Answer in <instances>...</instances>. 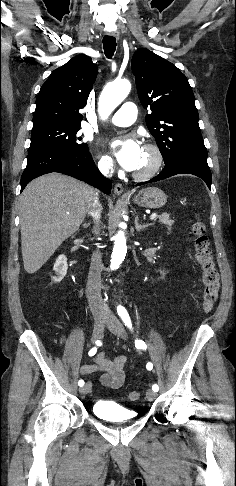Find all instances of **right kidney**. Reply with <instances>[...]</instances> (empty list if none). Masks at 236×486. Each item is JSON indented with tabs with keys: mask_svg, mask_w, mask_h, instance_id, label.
I'll list each match as a JSON object with an SVG mask.
<instances>
[{
	"mask_svg": "<svg viewBox=\"0 0 236 486\" xmlns=\"http://www.w3.org/2000/svg\"><path fill=\"white\" fill-rule=\"evenodd\" d=\"M67 258L65 255H59L54 264L53 270L56 276L53 277L54 282H60L67 274Z\"/></svg>",
	"mask_w": 236,
	"mask_h": 486,
	"instance_id": "obj_1",
	"label": "right kidney"
}]
</instances>
